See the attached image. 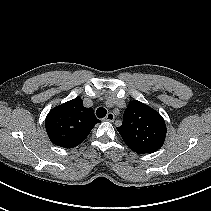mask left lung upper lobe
<instances>
[{
	"mask_svg": "<svg viewBox=\"0 0 211 211\" xmlns=\"http://www.w3.org/2000/svg\"><path fill=\"white\" fill-rule=\"evenodd\" d=\"M117 130L126 145L138 154L153 153L160 149L167 131L162 116L137 100L128 104L122 126Z\"/></svg>",
	"mask_w": 211,
	"mask_h": 211,
	"instance_id": "5c2ea615",
	"label": "left lung upper lobe"
}]
</instances>
